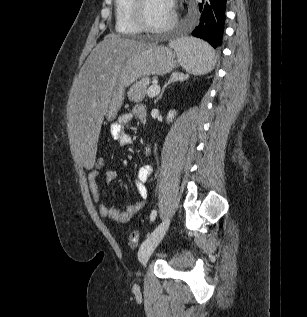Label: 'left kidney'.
<instances>
[{
    "mask_svg": "<svg viewBox=\"0 0 307 317\" xmlns=\"http://www.w3.org/2000/svg\"><path fill=\"white\" fill-rule=\"evenodd\" d=\"M176 111L175 110H172V111H169L168 112V115H167V122L169 123V122H172L173 121V119H174V117L176 116ZM150 152V148L149 147H147L146 148V154H148Z\"/></svg>",
    "mask_w": 307,
    "mask_h": 317,
    "instance_id": "obj_1",
    "label": "left kidney"
}]
</instances>
